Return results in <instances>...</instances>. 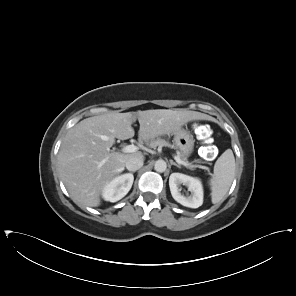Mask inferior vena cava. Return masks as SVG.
I'll return each mask as SVG.
<instances>
[{
  "instance_id": "602c4592",
  "label": "inferior vena cava",
  "mask_w": 296,
  "mask_h": 296,
  "mask_svg": "<svg viewBox=\"0 0 296 296\" xmlns=\"http://www.w3.org/2000/svg\"><path fill=\"white\" fill-rule=\"evenodd\" d=\"M143 158L140 157H132L127 160L125 166L129 171H136L143 166Z\"/></svg>"
}]
</instances>
